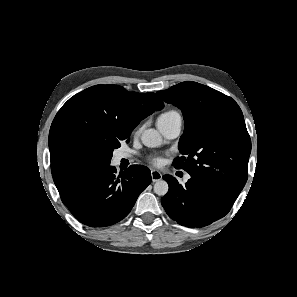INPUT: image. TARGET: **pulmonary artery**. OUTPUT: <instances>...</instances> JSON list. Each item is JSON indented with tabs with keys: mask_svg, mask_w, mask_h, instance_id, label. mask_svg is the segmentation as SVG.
<instances>
[{
	"mask_svg": "<svg viewBox=\"0 0 297 297\" xmlns=\"http://www.w3.org/2000/svg\"><path fill=\"white\" fill-rule=\"evenodd\" d=\"M158 127L161 133L167 139H174L179 136L182 128L181 117H176L169 120H160L158 122ZM130 157L128 154L122 153L119 155V159ZM190 176H186L185 179L188 180Z\"/></svg>",
	"mask_w": 297,
	"mask_h": 297,
	"instance_id": "e3ab8cb5",
	"label": "pulmonary artery"
}]
</instances>
